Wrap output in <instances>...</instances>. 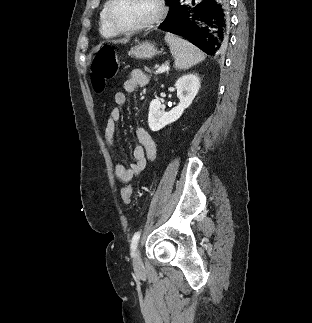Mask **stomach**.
<instances>
[{
    "mask_svg": "<svg viewBox=\"0 0 312 323\" xmlns=\"http://www.w3.org/2000/svg\"><path fill=\"white\" fill-rule=\"evenodd\" d=\"M156 54H159V52L151 42H141L138 46L131 48L129 52V56L137 58V60H148V58H153Z\"/></svg>",
    "mask_w": 312,
    "mask_h": 323,
    "instance_id": "1",
    "label": "stomach"
}]
</instances>
